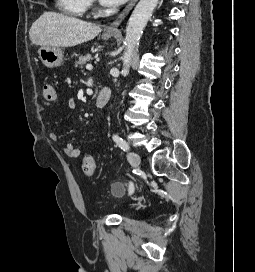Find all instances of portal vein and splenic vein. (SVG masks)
Masks as SVG:
<instances>
[{"instance_id": "1", "label": "portal vein and splenic vein", "mask_w": 255, "mask_h": 272, "mask_svg": "<svg viewBox=\"0 0 255 272\" xmlns=\"http://www.w3.org/2000/svg\"><path fill=\"white\" fill-rule=\"evenodd\" d=\"M86 69H87V70H92V69H93V66H92L91 64H88V65H86Z\"/></svg>"}]
</instances>
